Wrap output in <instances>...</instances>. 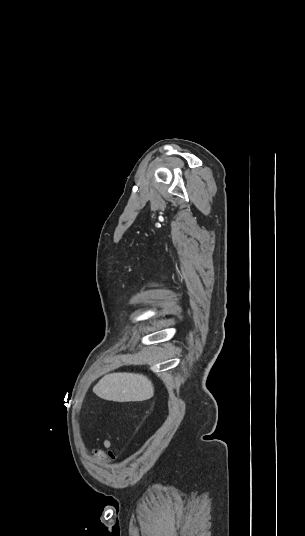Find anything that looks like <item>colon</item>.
<instances>
[{"mask_svg": "<svg viewBox=\"0 0 305 536\" xmlns=\"http://www.w3.org/2000/svg\"><path fill=\"white\" fill-rule=\"evenodd\" d=\"M96 453H97V455L99 456L100 459L108 458L107 453L105 451L97 450Z\"/></svg>", "mask_w": 305, "mask_h": 536, "instance_id": "1", "label": "colon"}]
</instances>
